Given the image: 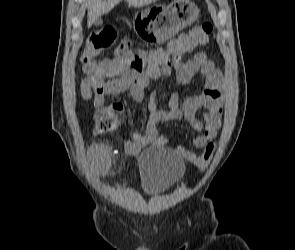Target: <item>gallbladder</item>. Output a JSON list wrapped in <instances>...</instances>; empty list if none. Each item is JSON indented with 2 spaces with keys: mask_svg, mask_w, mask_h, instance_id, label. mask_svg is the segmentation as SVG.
<instances>
[{
  "mask_svg": "<svg viewBox=\"0 0 295 250\" xmlns=\"http://www.w3.org/2000/svg\"><path fill=\"white\" fill-rule=\"evenodd\" d=\"M103 21L101 20V18H98L97 20H95L94 25L96 26H100L102 25Z\"/></svg>",
  "mask_w": 295,
  "mask_h": 250,
  "instance_id": "obj_1",
  "label": "gallbladder"
}]
</instances>
